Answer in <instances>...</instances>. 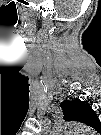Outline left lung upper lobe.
<instances>
[{"instance_id":"1","label":"left lung upper lobe","mask_w":101,"mask_h":135,"mask_svg":"<svg viewBox=\"0 0 101 135\" xmlns=\"http://www.w3.org/2000/svg\"><path fill=\"white\" fill-rule=\"evenodd\" d=\"M64 119L66 121H80L88 124L90 119L95 117L92 108L80 100L63 101L61 103Z\"/></svg>"}]
</instances>
